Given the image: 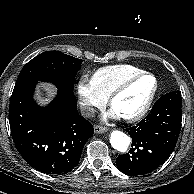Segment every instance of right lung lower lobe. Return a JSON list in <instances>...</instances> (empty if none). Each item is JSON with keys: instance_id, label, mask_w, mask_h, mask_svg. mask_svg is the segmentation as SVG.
Instances as JSON below:
<instances>
[{"instance_id": "right-lung-lower-lobe-1", "label": "right lung lower lobe", "mask_w": 194, "mask_h": 194, "mask_svg": "<svg viewBox=\"0 0 194 194\" xmlns=\"http://www.w3.org/2000/svg\"><path fill=\"white\" fill-rule=\"evenodd\" d=\"M35 85L36 81H27L14 87L9 107L14 144L33 168L66 174L78 165L93 126L79 115L73 90L58 88L53 102L40 107L32 97Z\"/></svg>"}]
</instances>
